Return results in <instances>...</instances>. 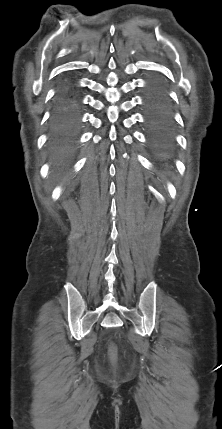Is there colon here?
I'll list each match as a JSON object with an SVG mask.
<instances>
[{"mask_svg": "<svg viewBox=\"0 0 222 429\" xmlns=\"http://www.w3.org/2000/svg\"><path fill=\"white\" fill-rule=\"evenodd\" d=\"M111 359H112V362L114 363L115 362V348L113 345L111 346Z\"/></svg>", "mask_w": 222, "mask_h": 429, "instance_id": "obj_1", "label": "colon"}]
</instances>
